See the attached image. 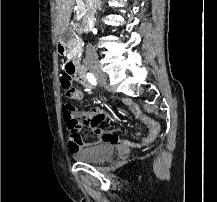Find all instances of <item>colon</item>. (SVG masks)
<instances>
[{
    "mask_svg": "<svg viewBox=\"0 0 217 202\" xmlns=\"http://www.w3.org/2000/svg\"><path fill=\"white\" fill-rule=\"evenodd\" d=\"M59 96H62V110L61 117H64L67 127L70 131H76L80 128L78 121L73 115V106L67 101L69 96H72V91H59Z\"/></svg>",
    "mask_w": 217,
    "mask_h": 202,
    "instance_id": "1",
    "label": "colon"
}]
</instances>
